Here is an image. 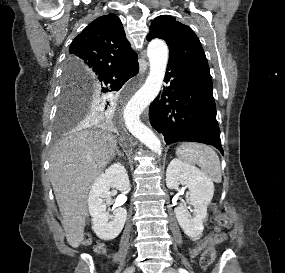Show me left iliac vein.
I'll list each match as a JSON object with an SVG mask.
<instances>
[{
	"label": "left iliac vein",
	"instance_id": "obj_1",
	"mask_svg": "<svg viewBox=\"0 0 285 273\" xmlns=\"http://www.w3.org/2000/svg\"><path fill=\"white\" fill-rule=\"evenodd\" d=\"M163 273H178L176 269L168 267L164 269Z\"/></svg>",
	"mask_w": 285,
	"mask_h": 273
}]
</instances>
